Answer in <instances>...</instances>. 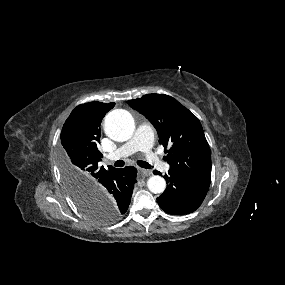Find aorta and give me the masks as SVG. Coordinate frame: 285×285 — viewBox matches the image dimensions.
<instances>
[{
	"label": "aorta",
	"mask_w": 285,
	"mask_h": 285,
	"mask_svg": "<svg viewBox=\"0 0 285 285\" xmlns=\"http://www.w3.org/2000/svg\"><path fill=\"white\" fill-rule=\"evenodd\" d=\"M135 123L132 115L123 109L109 112L104 119V131L111 139L119 142L129 140L134 132ZM148 189L154 194L163 193L166 188L164 178L151 176L147 181Z\"/></svg>",
	"instance_id": "aorta-1"
}]
</instances>
